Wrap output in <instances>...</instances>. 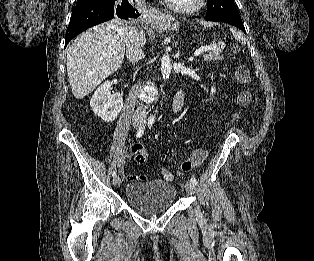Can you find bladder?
Masks as SVG:
<instances>
[{
  "label": "bladder",
  "instance_id": "31cf9c89",
  "mask_svg": "<svg viewBox=\"0 0 314 261\" xmlns=\"http://www.w3.org/2000/svg\"><path fill=\"white\" fill-rule=\"evenodd\" d=\"M176 187L165 181L151 180L129 183L126 202L136 211L152 216L171 208L176 200Z\"/></svg>",
  "mask_w": 314,
  "mask_h": 261
}]
</instances>
